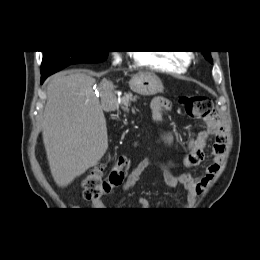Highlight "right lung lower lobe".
Returning a JSON list of instances; mask_svg holds the SVG:
<instances>
[{
    "label": "right lung lower lobe",
    "mask_w": 260,
    "mask_h": 260,
    "mask_svg": "<svg viewBox=\"0 0 260 260\" xmlns=\"http://www.w3.org/2000/svg\"><path fill=\"white\" fill-rule=\"evenodd\" d=\"M45 79H46V76H41V83H43Z\"/></svg>",
    "instance_id": "1"
}]
</instances>
